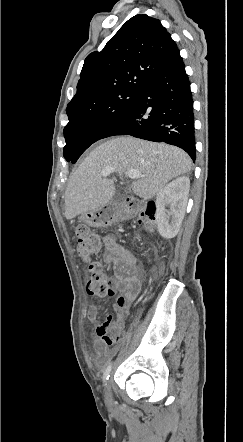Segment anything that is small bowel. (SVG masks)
Returning <instances> with one entry per match:
<instances>
[{
    "instance_id": "c3829d8e",
    "label": "small bowel",
    "mask_w": 243,
    "mask_h": 442,
    "mask_svg": "<svg viewBox=\"0 0 243 442\" xmlns=\"http://www.w3.org/2000/svg\"><path fill=\"white\" fill-rule=\"evenodd\" d=\"M103 243L105 259L112 264L114 270L110 285L114 294L119 292L120 295L114 303L116 316L108 314L102 325L97 324L98 309L95 305H89L86 312L88 321L93 325L94 364L99 368H103L110 360L107 347L121 340L128 309L139 294L143 281L136 258L129 250L117 244L110 236H104Z\"/></svg>"
}]
</instances>
